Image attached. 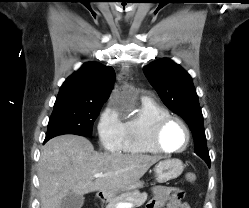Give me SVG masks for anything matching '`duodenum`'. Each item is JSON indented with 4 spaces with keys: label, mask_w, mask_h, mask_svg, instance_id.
<instances>
[{
    "label": "duodenum",
    "mask_w": 249,
    "mask_h": 208,
    "mask_svg": "<svg viewBox=\"0 0 249 208\" xmlns=\"http://www.w3.org/2000/svg\"><path fill=\"white\" fill-rule=\"evenodd\" d=\"M106 197H107V194L105 192L98 193V199L104 200Z\"/></svg>",
    "instance_id": "410a0bca"
}]
</instances>
